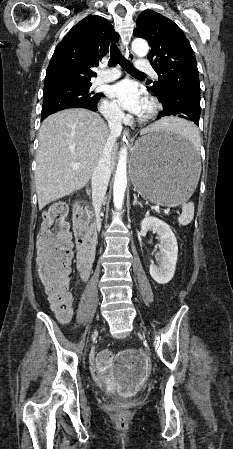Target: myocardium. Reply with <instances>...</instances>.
<instances>
[{
  "mask_svg": "<svg viewBox=\"0 0 233 449\" xmlns=\"http://www.w3.org/2000/svg\"><path fill=\"white\" fill-rule=\"evenodd\" d=\"M146 103L147 110L144 113H141L138 117L140 122H147L151 120L156 115L159 109V104L153 97H149Z\"/></svg>",
  "mask_w": 233,
  "mask_h": 449,
  "instance_id": "f54148a6",
  "label": "myocardium"
}]
</instances>
